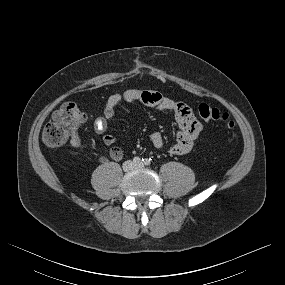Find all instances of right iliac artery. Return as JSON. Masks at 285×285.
I'll return each mask as SVG.
<instances>
[{"label": "right iliac artery", "instance_id": "right-iliac-artery-1", "mask_svg": "<svg viewBox=\"0 0 285 285\" xmlns=\"http://www.w3.org/2000/svg\"><path fill=\"white\" fill-rule=\"evenodd\" d=\"M143 161V159H141V158H139V157H134L133 158V162L135 163V164H139V163H141Z\"/></svg>", "mask_w": 285, "mask_h": 285}]
</instances>
